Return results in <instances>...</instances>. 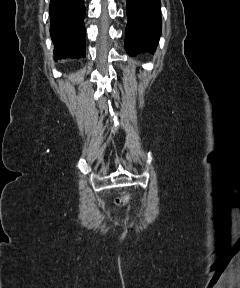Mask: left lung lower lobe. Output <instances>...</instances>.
<instances>
[{
	"label": "left lung lower lobe",
	"mask_w": 240,
	"mask_h": 288,
	"mask_svg": "<svg viewBox=\"0 0 240 288\" xmlns=\"http://www.w3.org/2000/svg\"><path fill=\"white\" fill-rule=\"evenodd\" d=\"M125 49L129 55L152 52L161 34L160 0H126Z\"/></svg>",
	"instance_id": "left-lung-lower-lobe-1"
}]
</instances>
